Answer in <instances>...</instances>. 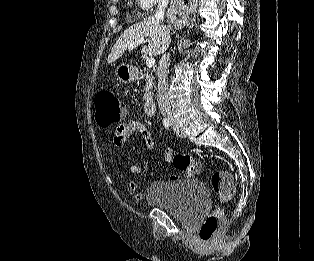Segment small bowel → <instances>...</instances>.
I'll use <instances>...</instances> for the list:
<instances>
[{"mask_svg":"<svg viewBox=\"0 0 314 261\" xmlns=\"http://www.w3.org/2000/svg\"><path fill=\"white\" fill-rule=\"evenodd\" d=\"M135 134H139L142 137L144 145L148 150H152L154 148V139L151 135L150 130L145 124L137 121H127L123 123L116 129L115 133H110L109 138L110 140H114L116 145L123 146ZM171 155V150L167 149L165 153L166 160ZM141 171L142 169L136 165H131L129 168V172L131 174H138ZM128 186L130 191L135 193L136 200H141L143 198V194L139 192V183L137 180H130Z\"/></svg>","mask_w":314,"mask_h":261,"instance_id":"c3829d8e","label":"small bowel"}]
</instances>
